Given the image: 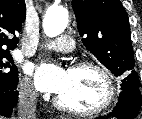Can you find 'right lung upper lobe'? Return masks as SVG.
I'll list each match as a JSON object with an SVG mask.
<instances>
[{
  "label": "right lung upper lobe",
  "instance_id": "right-lung-upper-lobe-1",
  "mask_svg": "<svg viewBox=\"0 0 142 119\" xmlns=\"http://www.w3.org/2000/svg\"><path fill=\"white\" fill-rule=\"evenodd\" d=\"M25 17L24 0H0V50L16 47L17 35L21 31Z\"/></svg>",
  "mask_w": 142,
  "mask_h": 119
}]
</instances>
